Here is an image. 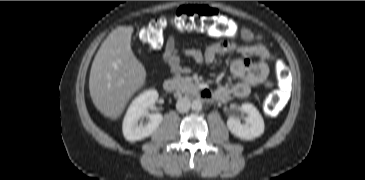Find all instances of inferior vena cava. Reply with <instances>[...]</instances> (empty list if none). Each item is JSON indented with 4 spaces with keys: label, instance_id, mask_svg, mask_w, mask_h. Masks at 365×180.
<instances>
[{
    "label": "inferior vena cava",
    "instance_id": "obj_1",
    "mask_svg": "<svg viewBox=\"0 0 365 180\" xmlns=\"http://www.w3.org/2000/svg\"><path fill=\"white\" fill-rule=\"evenodd\" d=\"M191 107V102L188 98L183 97L177 100L176 103V109L180 112V113H185L187 112Z\"/></svg>",
    "mask_w": 365,
    "mask_h": 180
}]
</instances>
